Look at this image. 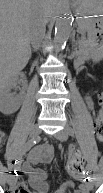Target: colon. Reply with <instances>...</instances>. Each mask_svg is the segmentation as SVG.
Wrapping results in <instances>:
<instances>
[{
    "mask_svg": "<svg viewBox=\"0 0 103 193\" xmlns=\"http://www.w3.org/2000/svg\"><path fill=\"white\" fill-rule=\"evenodd\" d=\"M97 97H98L100 105H102L103 104V94L98 93ZM95 128H96V135H97L98 140L103 141V121H102L101 111H99V114L96 118ZM68 169L73 174L82 175L85 173V163L79 152H74L72 156L70 157L69 163H68ZM24 193H28V191L26 190Z\"/></svg>",
    "mask_w": 103,
    "mask_h": 193,
    "instance_id": "1",
    "label": "colon"
}]
</instances>
